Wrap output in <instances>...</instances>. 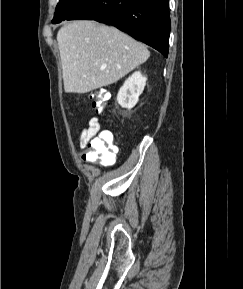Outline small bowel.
Masks as SVG:
<instances>
[{"label": "small bowel", "instance_id": "small-bowel-1", "mask_svg": "<svg viewBox=\"0 0 243 289\" xmlns=\"http://www.w3.org/2000/svg\"><path fill=\"white\" fill-rule=\"evenodd\" d=\"M102 132L99 119L92 117L88 125L83 128L79 136V144L82 149H85L89 142L96 138Z\"/></svg>", "mask_w": 243, "mask_h": 289}]
</instances>
